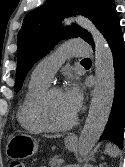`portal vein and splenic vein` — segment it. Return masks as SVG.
<instances>
[{
    "label": "portal vein and splenic vein",
    "mask_w": 125,
    "mask_h": 167,
    "mask_svg": "<svg viewBox=\"0 0 125 167\" xmlns=\"http://www.w3.org/2000/svg\"><path fill=\"white\" fill-rule=\"evenodd\" d=\"M59 163H61V164L64 163V160H62V159L59 160ZM65 167H72V166H65Z\"/></svg>",
    "instance_id": "obj_1"
}]
</instances>
